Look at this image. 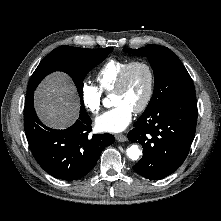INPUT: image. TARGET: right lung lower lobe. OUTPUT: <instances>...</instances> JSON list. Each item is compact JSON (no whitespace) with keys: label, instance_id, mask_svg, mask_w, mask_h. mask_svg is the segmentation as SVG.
<instances>
[{"label":"right lung lower lobe","instance_id":"right-lung-lower-lobe-1","mask_svg":"<svg viewBox=\"0 0 221 221\" xmlns=\"http://www.w3.org/2000/svg\"><path fill=\"white\" fill-rule=\"evenodd\" d=\"M33 94L34 91H28L25 97L24 129L34 158L57 179L72 181L84 177L94 168L102 150L114 143V136H90L91 119L83 106L78 120L69 128L46 127L34 110Z\"/></svg>","mask_w":221,"mask_h":221}]
</instances>
